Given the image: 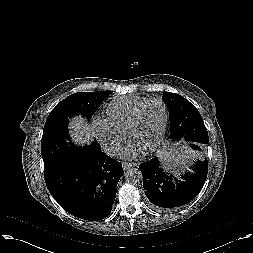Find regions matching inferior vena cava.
I'll list each match as a JSON object with an SVG mask.
<instances>
[{
    "label": "inferior vena cava",
    "instance_id": "obj_1",
    "mask_svg": "<svg viewBox=\"0 0 253 253\" xmlns=\"http://www.w3.org/2000/svg\"><path fill=\"white\" fill-rule=\"evenodd\" d=\"M107 150V153H110V154H112V150H113V148H108V149H106Z\"/></svg>",
    "mask_w": 253,
    "mask_h": 253
}]
</instances>
